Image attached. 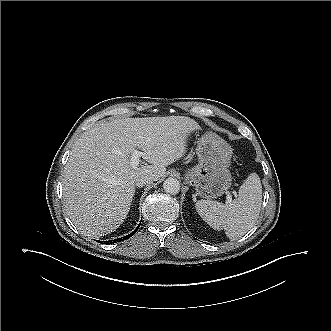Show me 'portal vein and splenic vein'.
I'll return each mask as SVG.
<instances>
[{
	"mask_svg": "<svg viewBox=\"0 0 331 331\" xmlns=\"http://www.w3.org/2000/svg\"><path fill=\"white\" fill-rule=\"evenodd\" d=\"M143 155V152H140L138 150H134L133 153L131 154L130 157V166L132 168H137V166L139 165V158ZM231 196L227 197L228 201H231Z\"/></svg>",
	"mask_w": 331,
	"mask_h": 331,
	"instance_id": "obj_1",
	"label": "portal vein and splenic vein"
}]
</instances>
